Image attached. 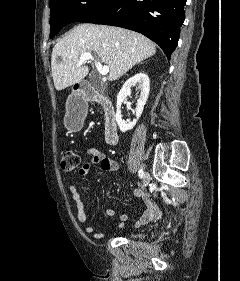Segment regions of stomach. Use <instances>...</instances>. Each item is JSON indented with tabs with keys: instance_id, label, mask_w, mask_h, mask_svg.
Here are the masks:
<instances>
[{
	"instance_id": "stomach-1",
	"label": "stomach",
	"mask_w": 240,
	"mask_h": 281,
	"mask_svg": "<svg viewBox=\"0 0 240 281\" xmlns=\"http://www.w3.org/2000/svg\"><path fill=\"white\" fill-rule=\"evenodd\" d=\"M86 116V106L78 97V91H73L66 105L64 125L69 131H77L81 128Z\"/></svg>"
}]
</instances>
